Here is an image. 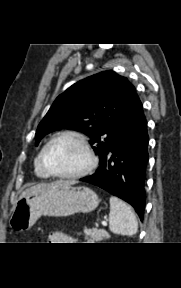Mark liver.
I'll list each match as a JSON object with an SVG mask.
<instances>
[{
    "instance_id": "liver-1",
    "label": "liver",
    "mask_w": 181,
    "mask_h": 288,
    "mask_svg": "<svg viewBox=\"0 0 181 288\" xmlns=\"http://www.w3.org/2000/svg\"><path fill=\"white\" fill-rule=\"evenodd\" d=\"M57 183H60V184H64V185H67V184H74L75 182L73 181H57ZM51 184H46V183H40V184H37V185H34L28 189H26L20 196L21 197H24L26 195H30V194H35V193H38L40 191H43L45 190L47 187H49Z\"/></svg>"
}]
</instances>
